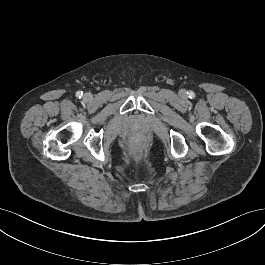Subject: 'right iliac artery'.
<instances>
[{
	"mask_svg": "<svg viewBox=\"0 0 265 265\" xmlns=\"http://www.w3.org/2000/svg\"><path fill=\"white\" fill-rule=\"evenodd\" d=\"M82 96H83V92L82 91L76 92V97L81 98Z\"/></svg>",
	"mask_w": 265,
	"mask_h": 265,
	"instance_id": "right-iliac-artery-1",
	"label": "right iliac artery"
}]
</instances>
